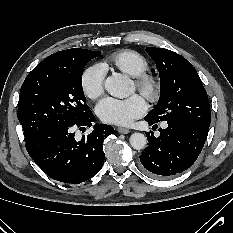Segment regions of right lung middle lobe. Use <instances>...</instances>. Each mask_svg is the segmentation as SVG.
<instances>
[{
	"instance_id": "obj_1",
	"label": "right lung middle lobe",
	"mask_w": 233,
	"mask_h": 233,
	"mask_svg": "<svg viewBox=\"0 0 233 233\" xmlns=\"http://www.w3.org/2000/svg\"><path fill=\"white\" fill-rule=\"evenodd\" d=\"M100 54L80 48L59 51L28 74L18 102L25 141L47 129L74 124L91 112L81 77L85 64Z\"/></svg>"
}]
</instances>
